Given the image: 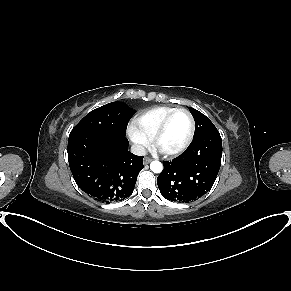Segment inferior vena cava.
<instances>
[{"label":"inferior vena cava","instance_id":"1","mask_svg":"<svg viewBox=\"0 0 291 291\" xmlns=\"http://www.w3.org/2000/svg\"><path fill=\"white\" fill-rule=\"evenodd\" d=\"M131 152L138 156L146 155V149L142 145H132Z\"/></svg>","mask_w":291,"mask_h":291}]
</instances>
